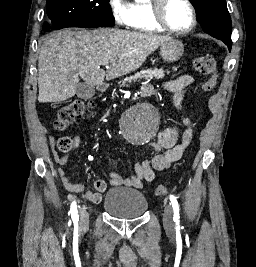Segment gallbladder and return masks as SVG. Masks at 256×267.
Returning <instances> with one entry per match:
<instances>
[{
    "label": "gallbladder",
    "mask_w": 256,
    "mask_h": 267,
    "mask_svg": "<svg viewBox=\"0 0 256 267\" xmlns=\"http://www.w3.org/2000/svg\"><path fill=\"white\" fill-rule=\"evenodd\" d=\"M95 94V86H90V84H78L76 90L77 98H81V100H89V98H93Z\"/></svg>",
    "instance_id": "gallbladder-1"
}]
</instances>
